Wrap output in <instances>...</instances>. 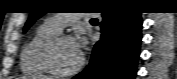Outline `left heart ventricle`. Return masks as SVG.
I'll return each instance as SVG.
<instances>
[{"instance_id": "left-heart-ventricle-1", "label": "left heart ventricle", "mask_w": 177, "mask_h": 79, "mask_svg": "<svg viewBox=\"0 0 177 79\" xmlns=\"http://www.w3.org/2000/svg\"><path fill=\"white\" fill-rule=\"evenodd\" d=\"M81 54L76 43L64 40L53 51V62L60 70L67 71L75 68L80 62Z\"/></svg>"}]
</instances>
